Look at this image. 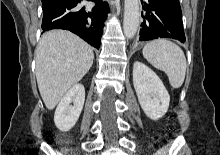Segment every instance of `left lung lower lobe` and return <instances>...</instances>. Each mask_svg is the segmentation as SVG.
Instances as JSON below:
<instances>
[{
    "mask_svg": "<svg viewBox=\"0 0 220 155\" xmlns=\"http://www.w3.org/2000/svg\"><path fill=\"white\" fill-rule=\"evenodd\" d=\"M141 3L144 14L140 41L167 37L185 42L179 0H146Z\"/></svg>",
    "mask_w": 220,
    "mask_h": 155,
    "instance_id": "0a47b994",
    "label": "left lung lower lobe"
}]
</instances>
